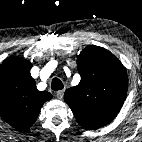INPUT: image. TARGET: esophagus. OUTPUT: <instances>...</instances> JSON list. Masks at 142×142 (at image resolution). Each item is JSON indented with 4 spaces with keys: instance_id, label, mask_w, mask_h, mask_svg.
I'll return each mask as SVG.
<instances>
[{
    "instance_id": "esophagus-1",
    "label": "esophagus",
    "mask_w": 142,
    "mask_h": 142,
    "mask_svg": "<svg viewBox=\"0 0 142 142\" xmlns=\"http://www.w3.org/2000/svg\"><path fill=\"white\" fill-rule=\"evenodd\" d=\"M64 95V90L57 91L56 96L58 99H62Z\"/></svg>"
}]
</instances>
